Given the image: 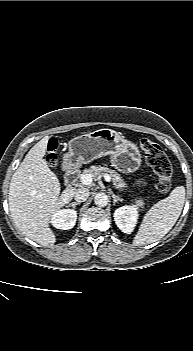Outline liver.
<instances>
[{"instance_id": "obj_1", "label": "liver", "mask_w": 193, "mask_h": 351, "mask_svg": "<svg viewBox=\"0 0 193 351\" xmlns=\"http://www.w3.org/2000/svg\"><path fill=\"white\" fill-rule=\"evenodd\" d=\"M49 136L37 142L14 172L9 187V209L19 230L43 246L56 242L49 227L52 215L69 203L76 191L67 187L62 194L57 176L43 159Z\"/></svg>"}]
</instances>
